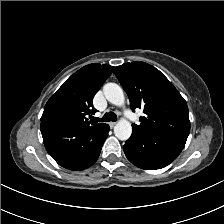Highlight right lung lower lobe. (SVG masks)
<instances>
[{"label":"right lung lower lobe","instance_id":"1","mask_svg":"<svg viewBox=\"0 0 224 224\" xmlns=\"http://www.w3.org/2000/svg\"><path fill=\"white\" fill-rule=\"evenodd\" d=\"M40 128L50 156L70 170H82L94 164L110 130L108 124L79 128L54 120L41 121Z\"/></svg>","mask_w":224,"mask_h":224}]
</instances>
